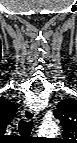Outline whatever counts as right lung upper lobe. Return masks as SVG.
<instances>
[{
    "label": "right lung upper lobe",
    "mask_w": 77,
    "mask_h": 143,
    "mask_svg": "<svg viewBox=\"0 0 77 143\" xmlns=\"http://www.w3.org/2000/svg\"><path fill=\"white\" fill-rule=\"evenodd\" d=\"M19 105L10 102L9 100L0 97V127L1 129L6 128V126L12 121L17 108Z\"/></svg>",
    "instance_id": "1"
}]
</instances>
